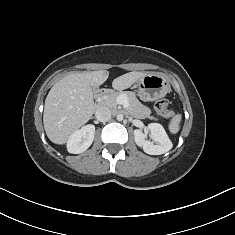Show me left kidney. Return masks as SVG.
I'll list each match as a JSON object with an SVG mask.
<instances>
[{
	"label": "left kidney",
	"mask_w": 235,
	"mask_h": 235,
	"mask_svg": "<svg viewBox=\"0 0 235 235\" xmlns=\"http://www.w3.org/2000/svg\"><path fill=\"white\" fill-rule=\"evenodd\" d=\"M148 129L151 133V139L156 144H154L153 141L146 140L147 135L141 130H134L135 142L145 153L150 155H161L172 148V142L161 124L150 123Z\"/></svg>",
	"instance_id": "1"
}]
</instances>
